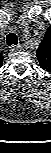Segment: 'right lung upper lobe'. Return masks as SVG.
Instances as JSON below:
<instances>
[{
    "label": "right lung upper lobe",
    "instance_id": "cb5924a9",
    "mask_svg": "<svg viewBox=\"0 0 51 153\" xmlns=\"http://www.w3.org/2000/svg\"><path fill=\"white\" fill-rule=\"evenodd\" d=\"M3 56L0 54V67L2 66Z\"/></svg>",
    "mask_w": 51,
    "mask_h": 153
}]
</instances>
